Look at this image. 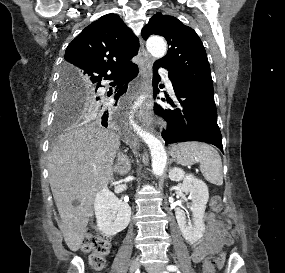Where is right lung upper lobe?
I'll list each match as a JSON object with an SVG mask.
<instances>
[{
  "instance_id": "1",
  "label": "right lung upper lobe",
  "mask_w": 285,
  "mask_h": 273,
  "mask_svg": "<svg viewBox=\"0 0 285 273\" xmlns=\"http://www.w3.org/2000/svg\"><path fill=\"white\" fill-rule=\"evenodd\" d=\"M138 38L115 14H106L84 28L68 45L62 72L84 84L99 80L133 64Z\"/></svg>"
}]
</instances>
